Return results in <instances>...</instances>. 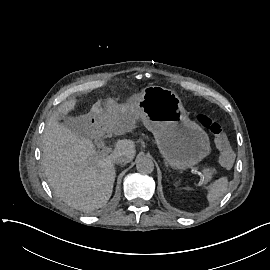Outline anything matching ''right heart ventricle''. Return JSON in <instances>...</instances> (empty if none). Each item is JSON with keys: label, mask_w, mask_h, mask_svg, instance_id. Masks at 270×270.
I'll return each instance as SVG.
<instances>
[{"label": "right heart ventricle", "mask_w": 270, "mask_h": 270, "mask_svg": "<svg viewBox=\"0 0 270 270\" xmlns=\"http://www.w3.org/2000/svg\"><path fill=\"white\" fill-rule=\"evenodd\" d=\"M135 168L138 169V167L136 166V164H135Z\"/></svg>", "instance_id": "right-heart-ventricle-1"}]
</instances>
